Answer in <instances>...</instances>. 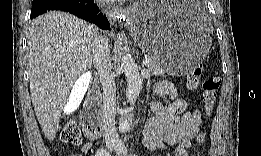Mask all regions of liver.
<instances>
[{"label": "liver", "instance_id": "obj_1", "mask_svg": "<svg viewBox=\"0 0 261 156\" xmlns=\"http://www.w3.org/2000/svg\"><path fill=\"white\" fill-rule=\"evenodd\" d=\"M97 34L98 28L94 25L61 11L47 12L28 27L31 100L49 141L56 136L72 88L91 68Z\"/></svg>", "mask_w": 261, "mask_h": 156}]
</instances>
